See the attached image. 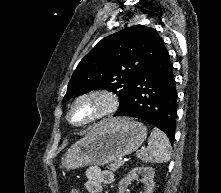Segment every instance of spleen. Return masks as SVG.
<instances>
[{
  "mask_svg": "<svg viewBox=\"0 0 221 193\" xmlns=\"http://www.w3.org/2000/svg\"><path fill=\"white\" fill-rule=\"evenodd\" d=\"M137 157L143 162L163 163L171 158V146L167 136L154 128L148 139V147L137 152Z\"/></svg>",
  "mask_w": 221,
  "mask_h": 193,
  "instance_id": "1",
  "label": "spleen"
}]
</instances>
